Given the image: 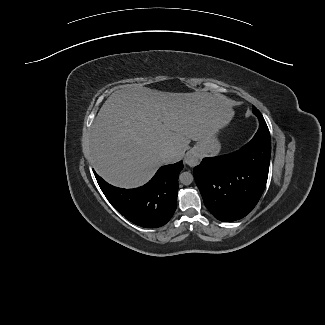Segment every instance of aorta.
Here are the masks:
<instances>
[{
  "label": "aorta",
  "instance_id": "1",
  "mask_svg": "<svg viewBox=\"0 0 325 325\" xmlns=\"http://www.w3.org/2000/svg\"><path fill=\"white\" fill-rule=\"evenodd\" d=\"M194 180L193 175L190 172H182L179 176V181L183 185H190Z\"/></svg>",
  "mask_w": 325,
  "mask_h": 325
}]
</instances>
